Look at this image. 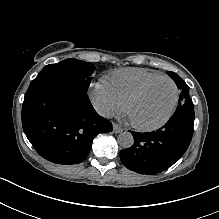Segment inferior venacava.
<instances>
[{"label":"inferior vena cava","mask_w":219,"mask_h":219,"mask_svg":"<svg viewBox=\"0 0 219 219\" xmlns=\"http://www.w3.org/2000/svg\"><path fill=\"white\" fill-rule=\"evenodd\" d=\"M98 112L104 117H111L109 110L104 106L99 107Z\"/></svg>","instance_id":"inferior-vena-cava-1"}]
</instances>
